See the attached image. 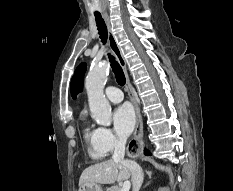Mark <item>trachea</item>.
Listing matches in <instances>:
<instances>
[{
    "label": "trachea",
    "instance_id": "obj_1",
    "mask_svg": "<svg viewBox=\"0 0 233 191\" xmlns=\"http://www.w3.org/2000/svg\"><path fill=\"white\" fill-rule=\"evenodd\" d=\"M95 19H96L101 41L105 43L107 40V36H108L106 24L100 14H95ZM109 60L111 62V67L113 69V72L115 74L118 84L123 86L126 80H125V76H124L121 66L119 65V63L115 60V58L112 55H109Z\"/></svg>",
    "mask_w": 233,
    "mask_h": 191
}]
</instances>
